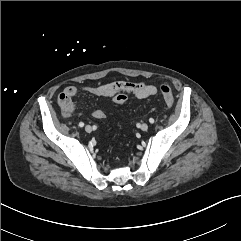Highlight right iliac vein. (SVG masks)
<instances>
[{
    "label": "right iliac vein",
    "mask_w": 241,
    "mask_h": 241,
    "mask_svg": "<svg viewBox=\"0 0 241 241\" xmlns=\"http://www.w3.org/2000/svg\"><path fill=\"white\" fill-rule=\"evenodd\" d=\"M85 131L90 133L92 131V127L90 125L85 126Z\"/></svg>",
    "instance_id": "63e3f726"
}]
</instances>
